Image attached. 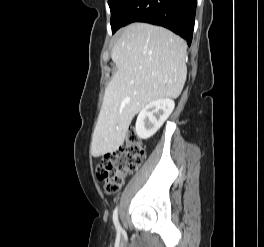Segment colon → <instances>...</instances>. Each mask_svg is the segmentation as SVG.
<instances>
[{
	"label": "colon",
	"instance_id": "5ec220e1",
	"mask_svg": "<svg viewBox=\"0 0 264 247\" xmlns=\"http://www.w3.org/2000/svg\"><path fill=\"white\" fill-rule=\"evenodd\" d=\"M146 156V148L134 132H129L124 143L104 156L97 165V178L104 182L107 194L119 192L125 179L132 174Z\"/></svg>",
	"mask_w": 264,
	"mask_h": 247
}]
</instances>
